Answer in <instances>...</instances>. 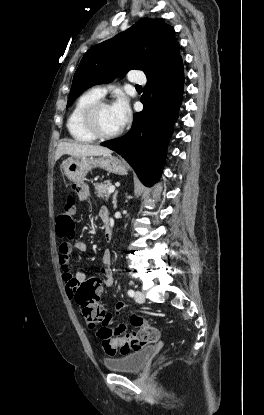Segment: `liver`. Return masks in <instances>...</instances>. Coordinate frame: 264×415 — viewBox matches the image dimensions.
Masks as SVG:
<instances>
[{
    "mask_svg": "<svg viewBox=\"0 0 264 415\" xmlns=\"http://www.w3.org/2000/svg\"><path fill=\"white\" fill-rule=\"evenodd\" d=\"M111 153L112 151L110 149L99 145H89L75 142H61L57 146L55 160L57 161L64 154L80 157L110 155Z\"/></svg>",
    "mask_w": 264,
    "mask_h": 415,
    "instance_id": "obj_1",
    "label": "liver"
}]
</instances>
